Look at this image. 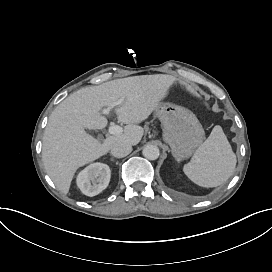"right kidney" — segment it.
Segmentation results:
<instances>
[{
  "label": "right kidney",
  "mask_w": 272,
  "mask_h": 272,
  "mask_svg": "<svg viewBox=\"0 0 272 272\" xmlns=\"http://www.w3.org/2000/svg\"><path fill=\"white\" fill-rule=\"evenodd\" d=\"M110 177L111 171L108 165L95 163L79 174L77 184L85 195L95 196L108 186Z\"/></svg>",
  "instance_id": "right-kidney-1"
}]
</instances>
